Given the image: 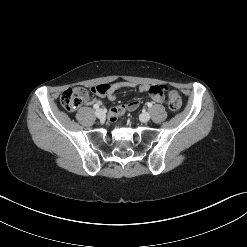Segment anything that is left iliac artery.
<instances>
[{"label":"left iliac artery","instance_id":"1","mask_svg":"<svg viewBox=\"0 0 247 247\" xmlns=\"http://www.w3.org/2000/svg\"><path fill=\"white\" fill-rule=\"evenodd\" d=\"M147 106L150 108V107H152V103H147Z\"/></svg>","mask_w":247,"mask_h":247}]
</instances>
